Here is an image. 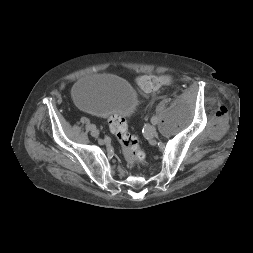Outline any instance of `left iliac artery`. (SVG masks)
Here are the masks:
<instances>
[{
    "label": "left iliac artery",
    "instance_id": "1",
    "mask_svg": "<svg viewBox=\"0 0 253 253\" xmlns=\"http://www.w3.org/2000/svg\"><path fill=\"white\" fill-rule=\"evenodd\" d=\"M151 122H152L153 124H157V123H158V118H157L156 116H153V117L151 118Z\"/></svg>",
    "mask_w": 253,
    "mask_h": 253
}]
</instances>
